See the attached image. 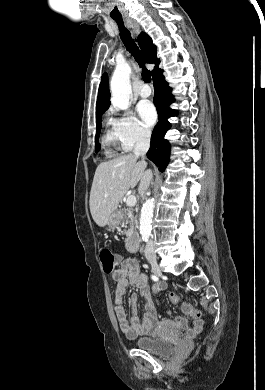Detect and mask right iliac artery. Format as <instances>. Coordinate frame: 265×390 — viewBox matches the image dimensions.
I'll list each match as a JSON object with an SVG mask.
<instances>
[{
  "label": "right iliac artery",
  "instance_id": "obj_1",
  "mask_svg": "<svg viewBox=\"0 0 265 390\" xmlns=\"http://www.w3.org/2000/svg\"><path fill=\"white\" fill-rule=\"evenodd\" d=\"M151 278H152L153 281H158V277L155 276V275H151Z\"/></svg>",
  "mask_w": 265,
  "mask_h": 390
}]
</instances>
